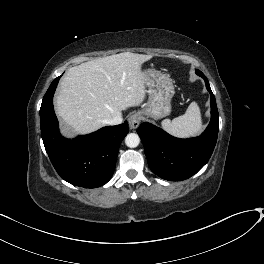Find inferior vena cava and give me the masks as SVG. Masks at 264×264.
<instances>
[{
  "instance_id": "obj_1",
  "label": "inferior vena cava",
  "mask_w": 264,
  "mask_h": 264,
  "mask_svg": "<svg viewBox=\"0 0 264 264\" xmlns=\"http://www.w3.org/2000/svg\"><path fill=\"white\" fill-rule=\"evenodd\" d=\"M123 121V118L121 115L114 116L113 118L106 121V124L108 125H118L121 124Z\"/></svg>"
}]
</instances>
